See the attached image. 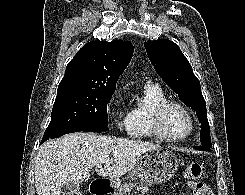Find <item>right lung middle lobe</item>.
<instances>
[{"mask_svg":"<svg viewBox=\"0 0 245 195\" xmlns=\"http://www.w3.org/2000/svg\"><path fill=\"white\" fill-rule=\"evenodd\" d=\"M112 95L98 90L57 93L42 142L89 125L108 126L107 103Z\"/></svg>","mask_w":245,"mask_h":195,"instance_id":"right-lung-middle-lobe-1","label":"right lung middle lobe"}]
</instances>
